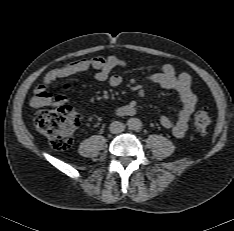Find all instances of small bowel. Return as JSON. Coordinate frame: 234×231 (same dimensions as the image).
Returning <instances> with one entry per match:
<instances>
[{"instance_id":"1","label":"small bowel","mask_w":234,"mask_h":231,"mask_svg":"<svg viewBox=\"0 0 234 231\" xmlns=\"http://www.w3.org/2000/svg\"><path fill=\"white\" fill-rule=\"evenodd\" d=\"M127 65L126 60L115 55L96 56L83 58L73 63L61 65L48 71L42 81L35 87L31 98V106L41 108L45 106H62L68 102V98L62 94L53 96L48 88L56 80L66 78L76 73L87 71L91 68L96 70L95 78L98 81H107L111 87H118L123 79L119 74H112L117 68ZM145 80L157 84L166 89L175 90L180 97L182 106L178 112L177 120L172 121L168 116H162L161 124L170 129L175 137L185 136L188 130V121L192 115L197 97L191 87V77L187 73L176 74L175 69L170 64L162 66L159 72L145 76ZM68 85H66V88ZM117 115L132 116L137 113V102L131 101L126 105L117 106L114 109Z\"/></svg>"}]
</instances>
